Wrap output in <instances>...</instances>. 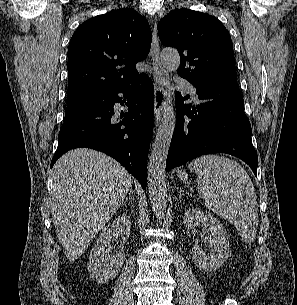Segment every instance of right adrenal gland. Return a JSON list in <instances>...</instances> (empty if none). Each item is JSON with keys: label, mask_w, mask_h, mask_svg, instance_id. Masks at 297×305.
I'll use <instances>...</instances> for the list:
<instances>
[{"label": "right adrenal gland", "mask_w": 297, "mask_h": 305, "mask_svg": "<svg viewBox=\"0 0 297 305\" xmlns=\"http://www.w3.org/2000/svg\"><path fill=\"white\" fill-rule=\"evenodd\" d=\"M128 199L134 201V198L132 197V190L129 191L128 196L124 200L123 204H125L128 201Z\"/></svg>", "instance_id": "right-adrenal-gland-1"}]
</instances>
